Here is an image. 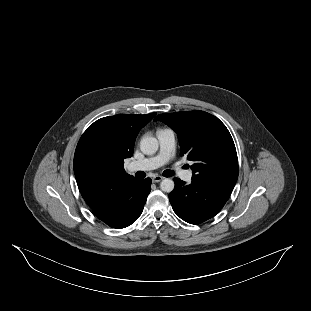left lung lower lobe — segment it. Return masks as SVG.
Returning a JSON list of instances; mask_svg holds the SVG:
<instances>
[{"mask_svg": "<svg viewBox=\"0 0 311 311\" xmlns=\"http://www.w3.org/2000/svg\"><path fill=\"white\" fill-rule=\"evenodd\" d=\"M175 188L169 194L174 212L184 221L200 224L215 216L225 205L234 186L192 180L186 184L174 178Z\"/></svg>", "mask_w": 311, "mask_h": 311, "instance_id": "0a47b994", "label": "left lung lower lobe"}]
</instances>
